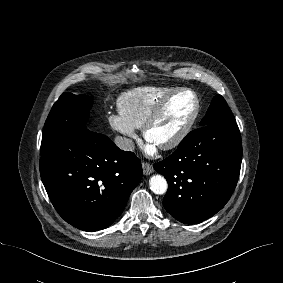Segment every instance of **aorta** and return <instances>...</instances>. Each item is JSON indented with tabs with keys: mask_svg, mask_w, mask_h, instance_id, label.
<instances>
[{
	"mask_svg": "<svg viewBox=\"0 0 283 283\" xmlns=\"http://www.w3.org/2000/svg\"><path fill=\"white\" fill-rule=\"evenodd\" d=\"M150 189L153 193L162 195L167 191L168 185L162 175H153L149 181Z\"/></svg>",
	"mask_w": 283,
	"mask_h": 283,
	"instance_id": "762f6f07",
	"label": "aorta"
}]
</instances>
